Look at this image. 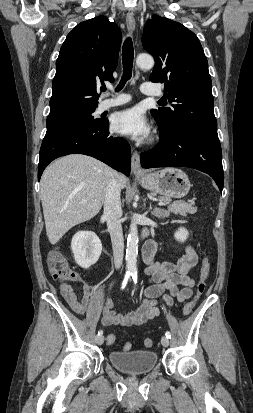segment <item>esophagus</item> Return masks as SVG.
<instances>
[{
	"mask_svg": "<svg viewBox=\"0 0 253 413\" xmlns=\"http://www.w3.org/2000/svg\"><path fill=\"white\" fill-rule=\"evenodd\" d=\"M126 25L129 33L132 35L136 28V21L132 12H128L126 15ZM131 170L134 174H141L143 172L140 163V154L137 151H133L132 153Z\"/></svg>",
	"mask_w": 253,
	"mask_h": 413,
	"instance_id": "esophagus-1",
	"label": "esophagus"
}]
</instances>
